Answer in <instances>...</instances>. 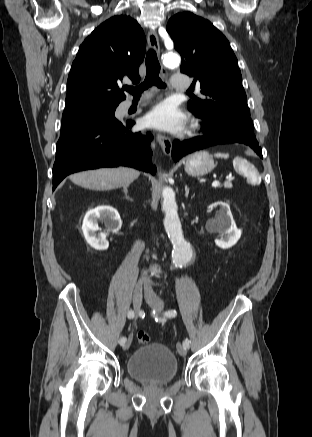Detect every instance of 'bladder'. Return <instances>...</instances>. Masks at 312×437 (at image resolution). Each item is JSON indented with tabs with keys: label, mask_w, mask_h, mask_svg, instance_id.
<instances>
[{
	"label": "bladder",
	"mask_w": 312,
	"mask_h": 437,
	"mask_svg": "<svg viewBox=\"0 0 312 437\" xmlns=\"http://www.w3.org/2000/svg\"><path fill=\"white\" fill-rule=\"evenodd\" d=\"M127 374L146 384L165 385L178 374V362L163 343H147L132 352L126 362Z\"/></svg>",
	"instance_id": "31cf9c89"
}]
</instances>
